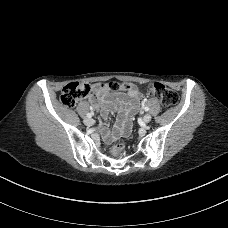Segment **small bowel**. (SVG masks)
Listing matches in <instances>:
<instances>
[{
    "instance_id": "small-bowel-1",
    "label": "small bowel",
    "mask_w": 228,
    "mask_h": 228,
    "mask_svg": "<svg viewBox=\"0 0 228 228\" xmlns=\"http://www.w3.org/2000/svg\"><path fill=\"white\" fill-rule=\"evenodd\" d=\"M103 85L104 88L96 90L95 93L89 96L88 101L99 109L104 120L107 119L110 112L118 110L119 116L114 130L112 132L107 129L104 130L105 139L111 141L130 133V118L137 111L142 95L136 88H133L131 94L127 96L120 90L112 92L107 84Z\"/></svg>"
}]
</instances>
